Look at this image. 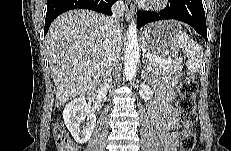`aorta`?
I'll use <instances>...</instances> for the list:
<instances>
[{
    "instance_id": "aorta-1",
    "label": "aorta",
    "mask_w": 231,
    "mask_h": 151,
    "mask_svg": "<svg viewBox=\"0 0 231 151\" xmlns=\"http://www.w3.org/2000/svg\"><path fill=\"white\" fill-rule=\"evenodd\" d=\"M139 55L140 50L137 39V25L136 21L132 20L128 28L127 45L124 57V73L127 80H131L136 73Z\"/></svg>"
}]
</instances>
